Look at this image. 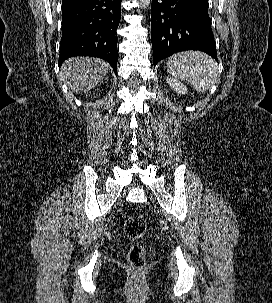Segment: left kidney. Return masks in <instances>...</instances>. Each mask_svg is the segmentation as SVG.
Instances as JSON below:
<instances>
[{
  "mask_svg": "<svg viewBox=\"0 0 272 303\" xmlns=\"http://www.w3.org/2000/svg\"><path fill=\"white\" fill-rule=\"evenodd\" d=\"M167 84H169V86L175 90L178 94H182L185 95L187 93V87L181 83L179 80L174 79V78H168L166 80Z\"/></svg>",
  "mask_w": 272,
  "mask_h": 303,
  "instance_id": "1",
  "label": "left kidney"
}]
</instances>
